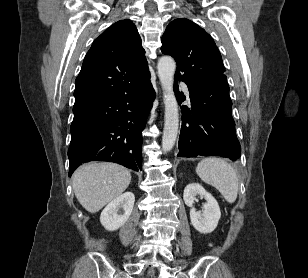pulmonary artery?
Instances as JSON below:
<instances>
[{"mask_svg":"<svg viewBox=\"0 0 308 278\" xmlns=\"http://www.w3.org/2000/svg\"><path fill=\"white\" fill-rule=\"evenodd\" d=\"M180 85H181L183 91H184L187 95H189L188 86H187L184 82H181Z\"/></svg>","mask_w":308,"mask_h":278,"instance_id":"e3ab8cb5","label":"pulmonary artery"}]
</instances>
